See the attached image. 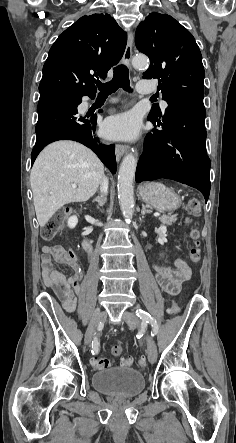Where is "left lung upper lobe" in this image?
<instances>
[{
  "instance_id": "obj_1",
  "label": "left lung upper lobe",
  "mask_w": 236,
  "mask_h": 443,
  "mask_svg": "<svg viewBox=\"0 0 236 443\" xmlns=\"http://www.w3.org/2000/svg\"><path fill=\"white\" fill-rule=\"evenodd\" d=\"M137 49L150 58L144 79H159L158 89L170 104L180 98H203L202 55L192 34L167 14L150 13L136 30ZM150 115L159 118L161 110Z\"/></svg>"
}]
</instances>
